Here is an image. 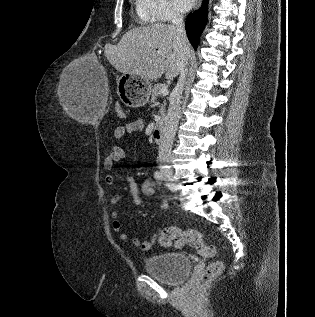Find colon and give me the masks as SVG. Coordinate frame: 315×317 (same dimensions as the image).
Returning a JSON list of instances; mask_svg holds the SVG:
<instances>
[{"mask_svg":"<svg viewBox=\"0 0 315 317\" xmlns=\"http://www.w3.org/2000/svg\"><path fill=\"white\" fill-rule=\"evenodd\" d=\"M116 111L118 116H125L122 107L118 106ZM159 242L164 247H169L171 245L180 246L182 244L188 243L204 257H211L215 254V247L212 245H207L204 242L202 233L193 228L180 229L174 226L167 227L160 232ZM222 270L223 263L219 260L213 261L196 279L195 288L197 289L207 285L215 277H217L222 272Z\"/></svg>","mask_w":315,"mask_h":317,"instance_id":"obj_1","label":"colon"}]
</instances>
